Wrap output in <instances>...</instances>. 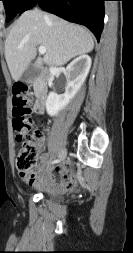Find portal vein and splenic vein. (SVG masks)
Returning a JSON list of instances; mask_svg holds the SVG:
<instances>
[{"instance_id":"1","label":"portal vein and splenic vein","mask_w":133,"mask_h":253,"mask_svg":"<svg viewBox=\"0 0 133 253\" xmlns=\"http://www.w3.org/2000/svg\"><path fill=\"white\" fill-rule=\"evenodd\" d=\"M38 51L40 54L44 55L46 53V48L44 46H40Z\"/></svg>"}]
</instances>
